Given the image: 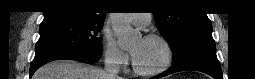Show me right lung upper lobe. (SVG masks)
<instances>
[{"label":"right lung upper lobe","mask_w":255,"mask_h":79,"mask_svg":"<svg viewBox=\"0 0 255 79\" xmlns=\"http://www.w3.org/2000/svg\"><path fill=\"white\" fill-rule=\"evenodd\" d=\"M99 2V0H52L44 11L43 21L73 20L103 24L106 12L102 10Z\"/></svg>","instance_id":"obj_1"}]
</instances>
